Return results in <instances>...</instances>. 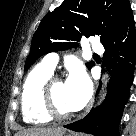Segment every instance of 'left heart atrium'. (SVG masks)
<instances>
[{
  "label": "left heart atrium",
  "instance_id": "obj_1",
  "mask_svg": "<svg viewBox=\"0 0 136 136\" xmlns=\"http://www.w3.org/2000/svg\"><path fill=\"white\" fill-rule=\"evenodd\" d=\"M65 85L71 107L73 110L81 109L87 103L92 91L91 81L85 71L80 68L73 69Z\"/></svg>",
  "mask_w": 136,
  "mask_h": 136
}]
</instances>
